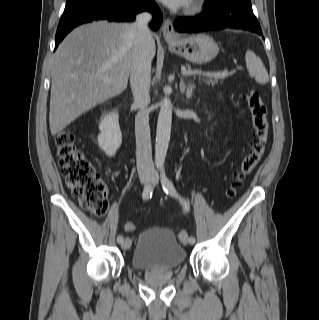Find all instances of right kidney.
<instances>
[{"mask_svg":"<svg viewBox=\"0 0 319 320\" xmlns=\"http://www.w3.org/2000/svg\"><path fill=\"white\" fill-rule=\"evenodd\" d=\"M99 130V147L109 157L114 156L122 143V133L119 127L118 113L111 112L106 115L99 124Z\"/></svg>","mask_w":319,"mask_h":320,"instance_id":"ca27d5eb","label":"right kidney"}]
</instances>
